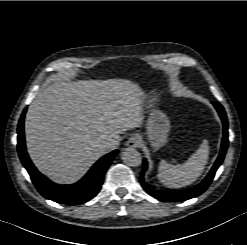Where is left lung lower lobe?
<instances>
[{
    "mask_svg": "<svg viewBox=\"0 0 247 245\" xmlns=\"http://www.w3.org/2000/svg\"><path fill=\"white\" fill-rule=\"evenodd\" d=\"M212 104L217 109L224 127H223V139H222L220 154H219L216 162L214 163V166L212 167V169L208 173L207 177L197 186L192 187V188L187 189V190H183V191L152 190V189L148 188L144 182V173L147 170V165H148L146 159H144L143 160V171H142V174L140 176V183H141L143 189L148 194H150L151 196H153L159 200H162V201L180 202V201H185V200H188L190 198L199 196L208 188V186L210 185V183L213 180L215 172L217 171L218 167L221 165V163L224 159L226 150L228 148V122H227L226 113L224 111V108L218 102H212Z\"/></svg>",
    "mask_w": 247,
    "mask_h": 245,
    "instance_id": "left-lung-lower-lobe-1",
    "label": "left lung lower lobe"
}]
</instances>
